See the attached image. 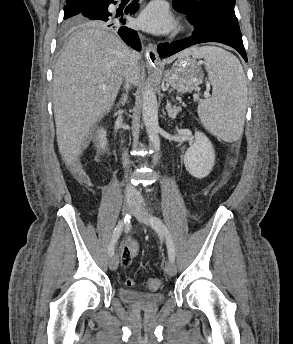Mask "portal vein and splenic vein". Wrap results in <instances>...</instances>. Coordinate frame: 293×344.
I'll return each mask as SVG.
<instances>
[{"label": "portal vein and splenic vein", "instance_id": "obj_1", "mask_svg": "<svg viewBox=\"0 0 293 344\" xmlns=\"http://www.w3.org/2000/svg\"><path fill=\"white\" fill-rule=\"evenodd\" d=\"M209 95H210V94H209V91H205L204 96H205V97H208ZM194 98L197 99V98H199V96H198V95H195Z\"/></svg>", "mask_w": 293, "mask_h": 344}]
</instances>
